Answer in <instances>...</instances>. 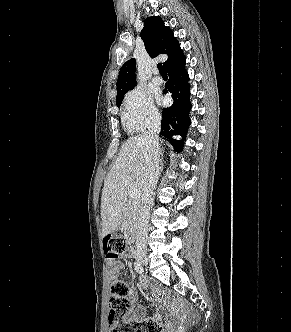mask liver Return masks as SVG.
Listing matches in <instances>:
<instances>
[{
  "mask_svg": "<svg viewBox=\"0 0 291 332\" xmlns=\"http://www.w3.org/2000/svg\"><path fill=\"white\" fill-rule=\"evenodd\" d=\"M146 144L141 136L128 139L106 176L101 196L102 237L123 220L125 200L132 190L141 192L146 176Z\"/></svg>",
  "mask_w": 291,
  "mask_h": 332,
  "instance_id": "1",
  "label": "liver"
}]
</instances>
